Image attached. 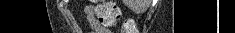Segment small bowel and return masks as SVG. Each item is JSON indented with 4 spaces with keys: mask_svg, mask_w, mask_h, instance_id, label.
I'll list each match as a JSON object with an SVG mask.
<instances>
[{
    "mask_svg": "<svg viewBox=\"0 0 235 33\" xmlns=\"http://www.w3.org/2000/svg\"><path fill=\"white\" fill-rule=\"evenodd\" d=\"M85 13L87 15V20L90 25L91 33H112L109 28L100 23L99 19L95 15L93 5H88L85 8Z\"/></svg>",
    "mask_w": 235,
    "mask_h": 33,
    "instance_id": "c3829d8e",
    "label": "small bowel"
}]
</instances>
